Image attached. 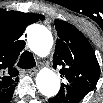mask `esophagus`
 Instances as JSON below:
<instances>
[{
  "mask_svg": "<svg viewBox=\"0 0 103 103\" xmlns=\"http://www.w3.org/2000/svg\"><path fill=\"white\" fill-rule=\"evenodd\" d=\"M37 71H38V68H32L30 71H29V73L30 74H32V75H34V74H36L37 73Z\"/></svg>",
  "mask_w": 103,
  "mask_h": 103,
  "instance_id": "1",
  "label": "esophagus"
}]
</instances>
